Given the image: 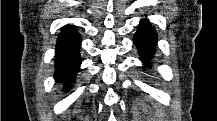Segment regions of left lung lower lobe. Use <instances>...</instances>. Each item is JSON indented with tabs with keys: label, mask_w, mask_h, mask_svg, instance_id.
I'll return each mask as SVG.
<instances>
[{
	"label": "left lung lower lobe",
	"mask_w": 217,
	"mask_h": 121,
	"mask_svg": "<svg viewBox=\"0 0 217 121\" xmlns=\"http://www.w3.org/2000/svg\"><path fill=\"white\" fill-rule=\"evenodd\" d=\"M157 33L151 27V23L147 19L140 21L139 30L134 36V44L136 45L140 60L143 61L147 67L151 66V60L156 52Z\"/></svg>",
	"instance_id": "obj_1"
}]
</instances>
